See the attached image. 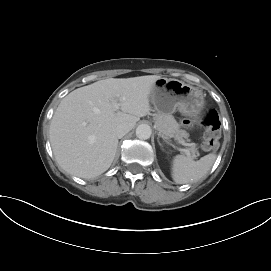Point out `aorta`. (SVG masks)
<instances>
[{"label": "aorta", "instance_id": "1", "mask_svg": "<svg viewBox=\"0 0 271 271\" xmlns=\"http://www.w3.org/2000/svg\"><path fill=\"white\" fill-rule=\"evenodd\" d=\"M152 133L151 127L147 124H141L136 128V136L141 140H147Z\"/></svg>", "mask_w": 271, "mask_h": 271}]
</instances>
